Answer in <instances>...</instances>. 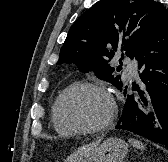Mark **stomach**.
Returning <instances> with one entry per match:
<instances>
[{"label": "stomach", "mask_w": 168, "mask_h": 162, "mask_svg": "<svg viewBox=\"0 0 168 162\" xmlns=\"http://www.w3.org/2000/svg\"><path fill=\"white\" fill-rule=\"evenodd\" d=\"M128 152V144L120 138H109L101 145L86 151L69 162H121Z\"/></svg>", "instance_id": "1"}]
</instances>
